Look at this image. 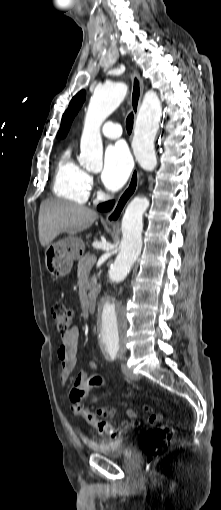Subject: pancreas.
I'll list each match as a JSON object with an SVG mask.
<instances>
[{"instance_id": "pancreas-1", "label": "pancreas", "mask_w": 221, "mask_h": 510, "mask_svg": "<svg viewBox=\"0 0 221 510\" xmlns=\"http://www.w3.org/2000/svg\"><path fill=\"white\" fill-rule=\"evenodd\" d=\"M92 255L90 253H86L84 256H82L78 261V272L81 273L83 271L89 272L94 263L90 261V258Z\"/></svg>"}]
</instances>
